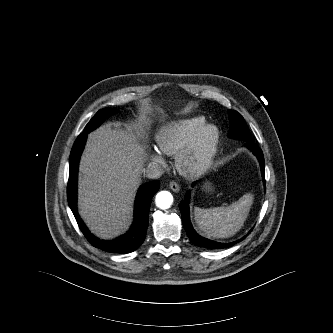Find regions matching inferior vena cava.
Returning <instances> with one entry per match:
<instances>
[{"label": "inferior vena cava", "mask_w": 333, "mask_h": 333, "mask_svg": "<svg viewBox=\"0 0 333 333\" xmlns=\"http://www.w3.org/2000/svg\"><path fill=\"white\" fill-rule=\"evenodd\" d=\"M145 172L148 178L158 179L164 174V169L156 163H150Z\"/></svg>", "instance_id": "obj_1"}]
</instances>
